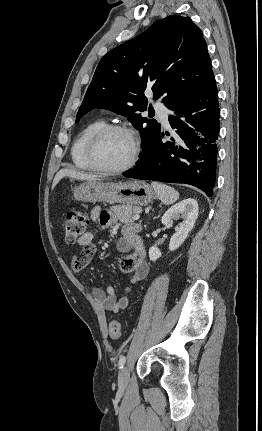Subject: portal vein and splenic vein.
I'll use <instances>...</instances> for the list:
<instances>
[{"label": "portal vein and splenic vein", "instance_id": "18ae733b", "mask_svg": "<svg viewBox=\"0 0 262 431\" xmlns=\"http://www.w3.org/2000/svg\"><path fill=\"white\" fill-rule=\"evenodd\" d=\"M139 218H140L139 214H136V215L133 216V220H138Z\"/></svg>", "mask_w": 262, "mask_h": 431}]
</instances>
